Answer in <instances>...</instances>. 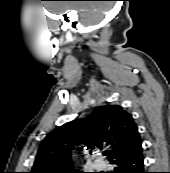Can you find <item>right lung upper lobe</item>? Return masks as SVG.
<instances>
[{
  "instance_id": "right-lung-upper-lobe-1",
  "label": "right lung upper lobe",
  "mask_w": 170,
  "mask_h": 173,
  "mask_svg": "<svg viewBox=\"0 0 170 173\" xmlns=\"http://www.w3.org/2000/svg\"><path fill=\"white\" fill-rule=\"evenodd\" d=\"M141 144L132 115L120 105L97 107L85 119L68 122L42 141L30 173H72V154L86 148H108V160Z\"/></svg>"
}]
</instances>
